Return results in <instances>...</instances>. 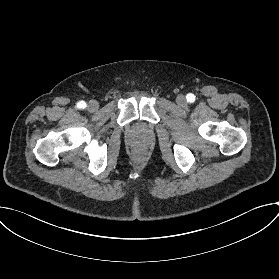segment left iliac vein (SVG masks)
<instances>
[{
	"label": "left iliac vein",
	"mask_w": 279,
	"mask_h": 279,
	"mask_svg": "<svg viewBox=\"0 0 279 279\" xmlns=\"http://www.w3.org/2000/svg\"><path fill=\"white\" fill-rule=\"evenodd\" d=\"M176 103L179 106H185L187 104V101H186V98L182 94H179L176 97Z\"/></svg>",
	"instance_id": "obj_1"
}]
</instances>
